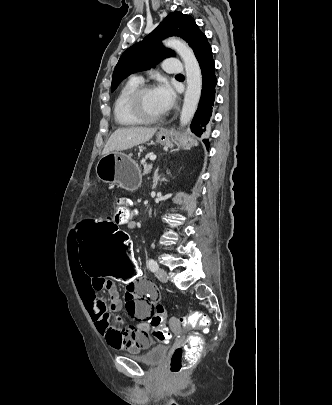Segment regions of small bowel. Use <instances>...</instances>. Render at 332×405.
<instances>
[{"label": "small bowel", "instance_id": "c3829d8e", "mask_svg": "<svg viewBox=\"0 0 332 405\" xmlns=\"http://www.w3.org/2000/svg\"><path fill=\"white\" fill-rule=\"evenodd\" d=\"M78 241L79 229L75 227L71 231L68 244L69 266L77 290L96 329L115 349L130 348L131 353H148L149 347L155 345V340L150 338L152 332L147 318L156 310V306H159L160 288H148L151 286L150 282L142 278L141 282H132L131 286L127 287L125 299L122 300L116 285L112 281H106L104 275H85L83 263L78 262ZM102 290L109 294L108 305L100 297ZM121 309L134 317L136 324L125 326L119 318L117 323H113L111 313Z\"/></svg>", "mask_w": 332, "mask_h": 405}]
</instances>
